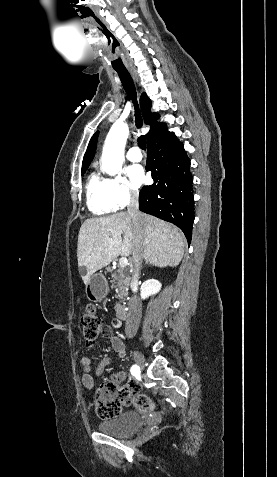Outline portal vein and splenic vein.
I'll use <instances>...</instances> for the list:
<instances>
[{
  "label": "portal vein and splenic vein",
  "mask_w": 277,
  "mask_h": 477,
  "mask_svg": "<svg viewBox=\"0 0 277 477\" xmlns=\"http://www.w3.org/2000/svg\"><path fill=\"white\" fill-rule=\"evenodd\" d=\"M128 265V259L126 257H121L119 259V266L126 267Z\"/></svg>",
  "instance_id": "1"
}]
</instances>
